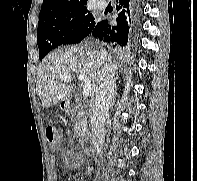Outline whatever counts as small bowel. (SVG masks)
I'll return each mask as SVG.
<instances>
[{"label":"small bowel","mask_w":197,"mask_h":181,"mask_svg":"<svg viewBox=\"0 0 197 181\" xmlns=\"http://www.w3.org/2000/svg\"><path fill=\"white\" fill-rule=\"evenodd\" d=\"M61 156H62V159H63V162H64V166L67 169H75L82 162V159L78 156H75L73 151L71 149H68V148L62 150ZM50 162H51L52 165H55L56 159H55L54 156L51 157Z\"/></svg>","instance_id":"1"}]
</instances>
